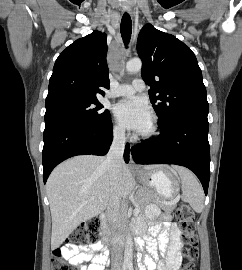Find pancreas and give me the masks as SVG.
I'll return each instance as SVG.
<instances>
[{
  "mask_svg": "<svg viewBox=\"0 0 242 270\" xmlns=\"http://www.w3.org/2000/svg\"><path fill=\"white\" fill-rule=\"evenodd\" d=\"M151 202L158 204L166 212H171L175 208L174 204H166L165 201L159 200L157 195L153 191L147 188H141L136 194L135 206L138 207L140 210H144L146 206ZM126 220L127 215L126 212L123 211L121 213L118 224L116 226L113 225L112 228L120 230L124 229L126 226Z\"/></svg>",
  "mask_w": 242,
  "mask_h": 270,
  "instance_id": "obj_1",
  "label": "pancreas"
}]
</instances>
